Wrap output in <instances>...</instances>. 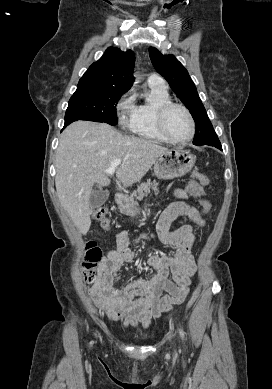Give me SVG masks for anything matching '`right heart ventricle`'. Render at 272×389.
I'll use <instances>...</instances> for the list:
<instances>
[{
    "label": "right heart ventricle",
    "instance_id": "obj_1",
    "mask_svg": "<svg viewBox=\"0 0 272 389\" xmlns=\"http://www.w3.org/2000/svg\"><path fill=\"white\" fill-rule=\"evenodd\" d=\"M169 101L171 97L166 87L149 84L145 100L131 110L128 129L148 140L167 141L157 128L156 112L162 104Z\"/></svg>",
    "mask_w": 272,
    "mask_h": 389
}]
</instances>
